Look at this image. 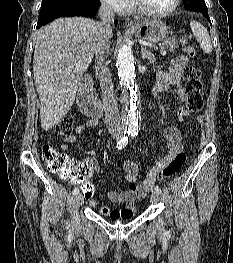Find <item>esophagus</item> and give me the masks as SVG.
I'll list each match as a JSON object with an SVG mask.
<instances>
[{"mask_svg": "<svg viewBox=\"0 0 233 263\" xmlns=\"http://www.w3.org/2000/svg\"><path fill=\"white\" fill-rule=\"evenodd\" d=\"M125 26L127 28H134V22L131 19H126L125 20Z\"/></svg>", "mask_w": 233, "mask_h": 263, "instance_id": "obj_1", "label": "esophagus"}]
</instances>
